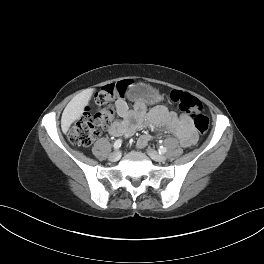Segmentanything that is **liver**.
I'll return each instance as SVG.
<instances>
[{
	"mask_svg": "<svg viewBox=\"0 0 264 264\" xmlns=\"http://www.w3.org/2000/svg\"><path fill=\"white\" fill-rule=\"evenodd\" d=\"M94 91L93 88L85 89L67 104L61 118L63 133H66L71 124L82 116L84 108L88 105Z\"/></svg>",
	"mask_w": 264,
	"mask_h": 264,
	"instance_id": "obj_1",
	"label": "liver"
}]
</instances>
